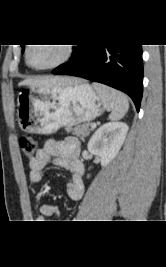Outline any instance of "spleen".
<instances>
[{"label": "spleen", "instance_id": "obj_1", "mask_svg": "<svg viewBox=\"0 0 166 267\" xmlns=\"http://www.w3.org/2000/svg\"><path fill=\"white\" fill-rule=\"evenodd\" d=\"M93 87L100 96L104 107L110 111V120L117 121L122 119L129 109L127 96L120 91L101 84L94 83Z\"/></svg>", "mask_w": 166, "mask_h": 267}]
</instances>
